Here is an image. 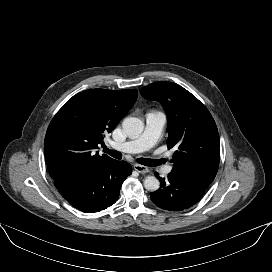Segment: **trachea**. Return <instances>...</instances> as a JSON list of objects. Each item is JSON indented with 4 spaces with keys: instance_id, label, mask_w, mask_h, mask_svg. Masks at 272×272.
Instances as JSON below:
<instances>
[{
    "instance_id": "1",
    "label": "trachea",
    "mask_w": 272,
    "mask_h": 272,
    "mask_svg": "<svg viewBox=\"0 0 272 272\" xmlns=\"http://www.w3.org/2000/svg\"><path fill=\"white\" fill-rule=\"evenodd\" d=\"M104 152L108 153L110 156H112L115 159H121L122 154L116 150H109L108 148H104ZM138 162L142 165L149 166V167H155L160 164H163L165 161L164 159L161 160H153V159H145V158H139L137 159Z\"/></svg>"
}]
</instances>
